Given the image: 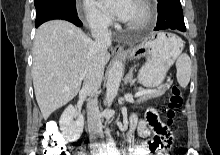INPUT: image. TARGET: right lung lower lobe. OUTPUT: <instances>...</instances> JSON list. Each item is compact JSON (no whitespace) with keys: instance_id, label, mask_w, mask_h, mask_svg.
Instances as JSON below:
<instances>
[{"instance_id":"right-lung-lower-lobe-1","label":"right lung lower lobe","mask_w":220,"mask_h":155,"mask_svg":"<svg viewBox=\"0 0 220 155\" xmlns=\"http://www.w3.org/2000/svg\"><path fill=\"white\" fill-rule=\"evenodd\" d=\"M53 19L67 20L79 27L83 25L77 16V12H70L66 10H53L40 16H37L35 20V27H38L42 23Z\"/></svg>"}]
</instances>
